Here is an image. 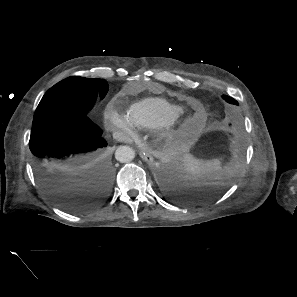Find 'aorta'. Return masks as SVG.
Masks as SVG:
<instances>
[{
	"mask_svg": "<svg viewBox=\"0 0 297 297\" xmlns=\"http://www.w3.org/2000/svg\"><path fill=\"white\" fill-rule=\"evenodd\" d=\"M135 151L129 146H120L115 152V158L121 163H127L134 159Z\"/></svg>",
	"mask_w": 297,
	"mask_h": 297,
	"instance_id": "aorta-1",
	"label": "aorta"
}]
</instances>
